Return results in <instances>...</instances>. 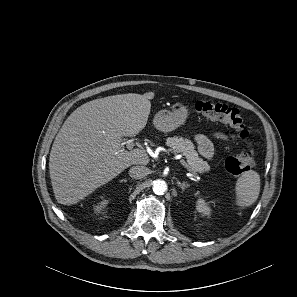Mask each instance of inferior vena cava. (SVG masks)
Wrapping results in <instances>:
<instances>
[{"instance_id": "obj_1", "label": "inferior vena cava", "mask_w": 297, "mask_h": 297, "mask_svg": "<svg viewBox=\"0 0 297 297\" xmlns=\"http://www.w3.org/2000/svg\"><path fill=\"white\" fill-rule=\"evenodd\" d=\"M149 174V169L145 166H133L129 170V176L133 179H141Z\"/></svg>"}]
</instances>
